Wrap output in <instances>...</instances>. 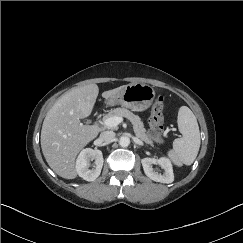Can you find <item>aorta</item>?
I'll return each instance as SVG.
<instances>
[{
	"label": "aorta",
	"instance_id": "1",
	"mask_svg": "<svg viewBox=\"0 0 243 243\" xmlns=\"http://www.w3.org/2000/svg\"><path fill=\"white\" fill-rule=\"evenodd\" d=\"M129 144H130V138L129 137H127V136H121L119 138V145L121 147H127V146H129Z\"/></svg>",
	"mask_w": 243,
	"mask_h": 243
}]
</instances>
